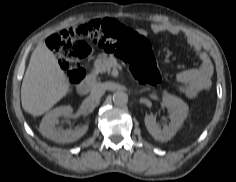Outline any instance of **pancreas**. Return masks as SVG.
I'll return each mask as SVG.
<instances>
[{
  "label": "pancreas",
  "instance_id": "obj_1",
  "mask_svg": "<svg viewBox=\"0 0 236 182\" xmlns=\"http://www.w3.org/2000/svg\"><path fill=\"white\" fill-rule=\"evenodd\" d=\"M94 73L110 72L112 65L110 59L106 54H100L94 62Z\"/></svg>",
  "mask_w": 236,
  "mask_h": 182
}]
</instances>
